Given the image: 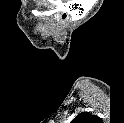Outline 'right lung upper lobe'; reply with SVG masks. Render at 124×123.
<instances>
[{
	"mask_svg": "<svg viewBox=\"0 0 124 123\" xmlns=\"http://www.w3.org/2000/svg\"><path fill=\"white\" fill-rule=\"evenodd\" d=\"M95 120H99V118L96 115H92L89 112H82L79 115H77L76 118L73 119V123H91Z\"/></svg>",
	"mask_w": 124,
	"mask_h": 123,
	"instance_id": "right-lung-upper-lobe-1",
	"label": "right lung upper lobe"
}]
</instances>
